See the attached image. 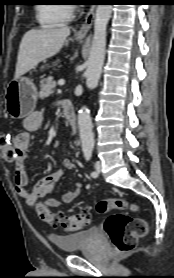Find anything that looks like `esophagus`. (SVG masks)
<instances>
[{
  "instance_id": "esophagus-1",
  "label": "esophagus",
  "mask_w": 174,
  "mask_h": 278,
  "mask_svg": "<svg viewBox=\"0 0 174 278\" xmlns=\"http://www.w3.org/2000/svg\"><path fill=\"white\" fill-rule=\"evenodd\" d=\"M95 9H96V7H95V5H93L90 7L89 11L87 12L85 21L77 33V35L79 37L86 36L87 33L90 31L93 21H94V17H95Z\"/></svg>"
}]
</instances>
